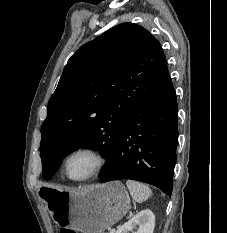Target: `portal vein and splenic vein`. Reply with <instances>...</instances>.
<instances>
[{
	"instance_id": "18ae733b",
	"label": "portal vein and splenic vein",
	"mask_w": 227,
	"mask_h": 233,
	"mask_svg": "<svg viewBox=\"0 0 227 233\" xmlns=\"http://www.w3.org/2000/svg\"><path fill=\"white\" fill-rule=\"evenodd\" d=\"M110 233H115V229H110Z\"/></svg>"
}]
</instances>
